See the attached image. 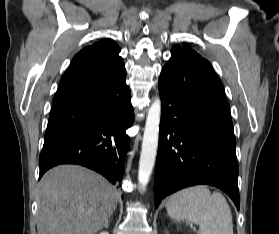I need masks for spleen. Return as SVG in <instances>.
<instances>
[{
    "label": "spleen",
    "mask_w": 279,
    "mask_h": 234,
    "mask_svg": "<svg viewBox=\"0 0 279 234\" xmlns=\"http://www.w3.org/2000/svg\"><path fill=\"white\" fill-rule=\"evenodd\" d=\"M168 215L199 225L200 234H233L230 207L223 195L204 185L183 189L171 195L166 204Z\"/></svg>",
    "instance_id": "1"
}]
</instances>
